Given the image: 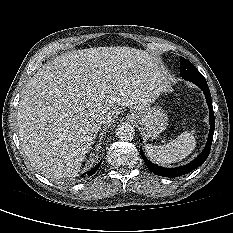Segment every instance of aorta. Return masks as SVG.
I'll use <instances>...</instances> for the list:
<instances>
[{"label": "aorta", "instance_id": "obj_1", "mask_svg": "<svg viewBox=\"0 0 233 233\" xmlns=\"http://www.w3.org/2000/svg\"><path fill=\"white\" fill-rule=\"evenodd\" d=\"M116 135L120 140L131 141L135 136V129L130 124H120L116 129Z\"/></svg>", "mask_w": 233, "mask_h": 233}]
</instances>
